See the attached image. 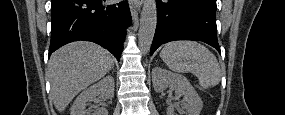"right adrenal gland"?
Here are the masks:
<instances>
[{
	"mask_svg": "<svg viewBox=\"0 0 285 115\" xmlns=\"http://www.w3.org/2000/svg\"><path fill=\"white\" fill-rule=\"evenodd\" d=\"M111 69H112V72H115V69H114V64H112V67H111Z\"/></svg>",
	"mask_w": 285,
	"mask_h": 115,
	"instance_id": "right-adrenal-gland-1",
	"label": "right adrenal gland"
}]
</instances>
